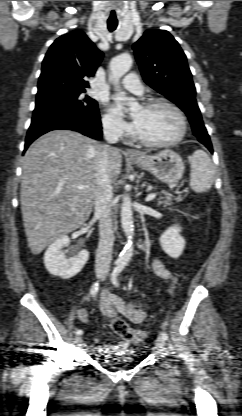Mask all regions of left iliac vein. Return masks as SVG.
Instances as JSON below:
<instances>
[{"label": "left iliac vein", "instance_id": "obj_1", "mask_svg": "<svg viewBox=\"0 0 242 416\" xmlns=\"http://www.w3.org/2000/svg\"><path fill=\"white\" fill-rule=\"evenodd\" d=\"M155 345L157 347V349L159 350H165L166 347V342L165 340L162 338V336H158L156 341H155Z\"/></svg>", "mask_w": 242, "mask_h": 416}]
</instances>
